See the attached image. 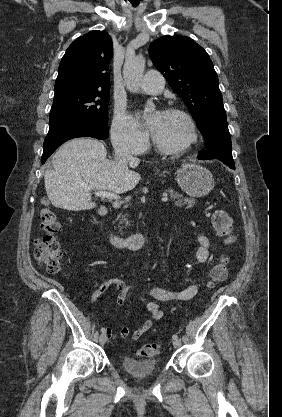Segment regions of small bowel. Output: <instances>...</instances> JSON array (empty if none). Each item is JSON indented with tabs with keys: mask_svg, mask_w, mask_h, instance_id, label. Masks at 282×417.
I'll return each mask as SVG.
<instances>
[{
	"mask_svg": "<svg viewBox=\"0 0 282 417\" xmlns=\"http://www.w3.org/2000/svg\"><path fill=\"white\" fill-rule=\"evenodd\" d=\"M198 247L196 250L197 262L204 264L208 261L210 256L209 239L204 234L196 236ZM114 287L118 294V303L122 304L131 291L132 286L125 283L118 278H110L100 284L91 295V301L97 300L107 289ZM199 291L197 283L191 284L182 289H167L163 287H153L148 293V301L146 303L147 309L151 312L152 318L144 322L137 330L130 332L127 325H122L118 332H114L110 327L104 329V333L108 338L124 339L131 337L132 340H138L153 324L154 321H159L163 318V313L159 309L157 302H177L188 301L193 299Z\"/></svg>",
	"mask_w": 282,
	"mask_h": 417,
	"instance_id": "obj_1",
	"label": "small bowel"
}]
</instances>
